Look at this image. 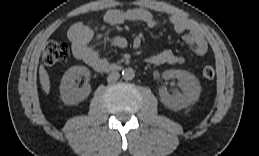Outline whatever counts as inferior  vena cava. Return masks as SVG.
Returning a JSON list of instances; mask_svg holds the SVG:
<instances>
[{
	"label": "inferior vena cava",
	"mask_w": 259,
	"mask_h": 156,
	"mask_svg": "<svg viewBox=\"0 0 259 156\" xmlns=\"http://www.w3.org/2000/svg\"><path fill=\"white\" fill-rule=\"evenodd\" d=\"M119 77H120V74H119L118 71H112V72L108 75L107 81H108V82H115V81H117V80L119 79Z\"/></svg>",
	"instance_id": "602c4592"
}]
</instances>
